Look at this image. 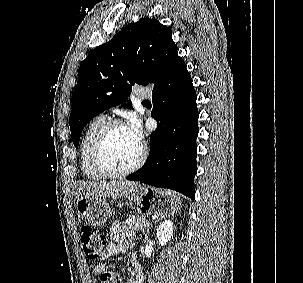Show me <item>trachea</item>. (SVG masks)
Wrapping results in <instances>:
<instances>
[{
  "instance_id": "3493384b",
  "label": "trachea",
  "mask_w": 303,
  "mask_h": 283,
  "mask_svg": "<svg viewBox=\"0 0 303 283\" xmlns=\"http://www.w3.org/2000/svg\"><path fill=\"white\" fill-rule=\"evenodd\" d=\"M147 102H149V101H148V100H144V101H143V103H147Z\"/></svg>"
}]
</instances>
